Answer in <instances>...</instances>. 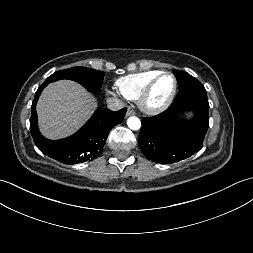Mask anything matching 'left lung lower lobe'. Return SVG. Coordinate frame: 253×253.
<instances>
[{
	"label": "left lung lower lobe",
	"mask_w": 253,
	"mask_h": 253,
	"mask_svg": "<svg viewBox=\"0 0 253 253\" xmlns=\"http://www.w3.org/2000/svg\"><path fill=\"white\" fill-rule=\"evenodd\" d=\"M191 110L194 118L183 122L179 112ZM209 103L204 86L198 81L179 89L171 106L149 118L142 117L138 144L150 160L172 164L190 157L203 146L209 127Z\"/></svg>",
	"instance_id": "1"
}]
</instances>
